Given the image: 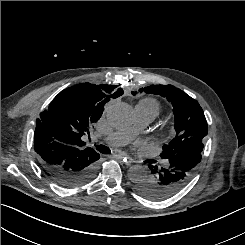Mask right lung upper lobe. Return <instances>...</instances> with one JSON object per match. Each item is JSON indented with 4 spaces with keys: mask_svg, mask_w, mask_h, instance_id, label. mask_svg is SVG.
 <instances>
[{
    "mask_svg": "<svg viewBox=\"0 0 245 245\" xmlns=\"http://www.w3.org/2000/svg\"><path fill=\"white\" fill-rule=\"evenodd\" d=\"M123 94L115 85L81 83L61 91L36 121L34 149L39 162L55 166L97 152L81 137L89 134L112 98Z\"/></svg>",
    "mask_w": 245,
    "mask_h": 245,
    "instance_id": "cb5924a9",
    "label": "right lung upper lobe"
}]
</instances>
